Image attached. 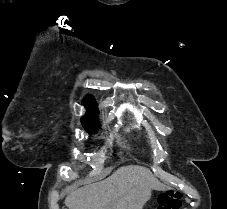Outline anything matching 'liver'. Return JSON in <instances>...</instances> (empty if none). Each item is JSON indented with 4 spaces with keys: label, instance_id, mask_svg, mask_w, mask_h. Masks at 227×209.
<instances>
[{
    "label": "liver",
    "instance_id": "1",
    "mask_svg": "<svg viewBox=\"0 0 227 209\" xmlns=\"http://www.w3.org/2000/svg\"><path fill=\"white\" fill-rule=\"evenodd\" d=\"M154 181L145 167H121L111 177L76 189L65 199L68 209H142L150 199L147 183Z\"/></svg>",
    "mask_w": 227,
    "mask_h": 209
}]
</instances>
